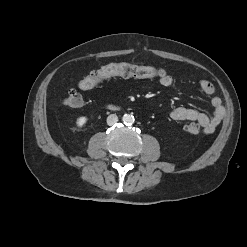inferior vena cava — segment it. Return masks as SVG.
Segmentation results:
<instances>
[{"mask_svg": "<svg viewBox=\"0 0 247 247\" xmlns=\"http://www.w3.org/2000/svg\"><path fill=\"white\" fill-rule=\"evenodd\" d=\"M116 122H118V116L116 114H111L107 117V124L109 126L114 125Z\"/></svg>", "mask_w": 247, "mask_h": 247, "instance_id": "1", "label": "inferior vena cava"}]
</instances>
